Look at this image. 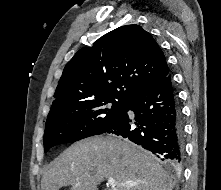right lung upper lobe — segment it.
I'll list each match as a JSON object with an SVG mask.
<instances>
[{
	"mask_svg": "<svg viewBox=\"0 0 221 190\" xmlns=\"http://www.w3.org/2000/svg\"><path fill=\"white\" fill-rule=\"evenodd\" d=\"M168 75L164 53L151 34L136 24L122 26L73 56L51 110L107 97L127 100Z\"/></svg>",
	"mask_w": 221,
	"mask_h": 190,
	"instance_id": "obj_1",
	"label": "right lung upper lobe"
}]
</instances>
